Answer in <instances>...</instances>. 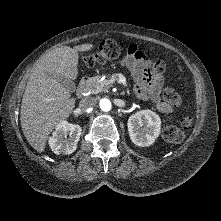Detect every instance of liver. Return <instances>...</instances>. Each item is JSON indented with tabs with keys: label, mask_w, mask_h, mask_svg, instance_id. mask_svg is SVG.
<instances>
[{
	"label": "liver",
	"mask_w": 221,
	"mask_h": 221,
	"mask_svg": "<svg viewBox=\"0 0 221 221\" xmlns=\"http://www.w3.org/2000/svg\"><path fill=\"white\" fill-rule=\"evenodd\" d=\"M92 48L93 44L62 46L36 61L23 95L20 122L24 136L38 152L45 150L51 132L75 107L76 99L55 77L76 79L79 53Z\"/></svg>",
	"instance_id": "6515ba94"
}]
</instances>
